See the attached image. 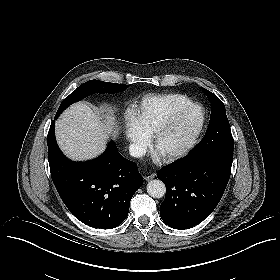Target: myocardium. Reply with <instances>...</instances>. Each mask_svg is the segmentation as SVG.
<instances>
[{
    "mask_svg": "<svg viewBox=\"0 0 280 280\" xmlns=\"http://www.w3.org/2000/svg\"><path fill=\"white\" fill-rule=\"evenodd\" d=\"M193 109H198V106H196L195 104H189L180 113H178V115H182ZM198 111L200 112L199 121L195 124V126L192 129H190L187 132V134H186L185 138L182 140L181 144L178 147H176L175 149L167 151L165 153L159 151V143H160L161 139L163 138V136L165 135V133L167 132V130L169 129L170 124L174 120H172V122H168L167 124L162 126L161 129L157 132V134L154 136V138L151 141V149H150L151 154L154 155L155 157L160 156L161 158H164V159H173V158H176V157L182 155L186 151V149L189 147V144L192 142V140L200 133V131L202 129L203 115H202V112L200 109H198Z\"/></svg>",
    "mask_w": 280,
    "mask_h": 280,
    "instance_id": "f54148a6",
    "label": "myocardium"
}]
</instances>
